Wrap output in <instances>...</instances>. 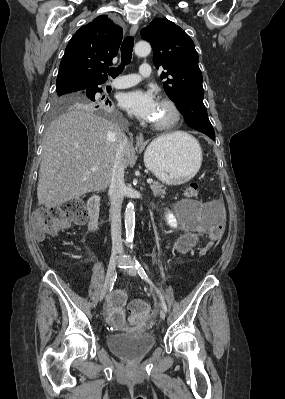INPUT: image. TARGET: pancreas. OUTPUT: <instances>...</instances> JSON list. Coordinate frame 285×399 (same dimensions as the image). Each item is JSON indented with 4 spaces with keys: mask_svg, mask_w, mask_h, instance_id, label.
Masks as SVG:
<instances>
[{
    "mask_svg": "<svg viewBox=\"0 0 285 399\" xmlns=\"http://www.w3.org/2000/svg\"><path fill=\"white\" fill-rule=\"evenodd\" d=\"M150 188L155 197L163 198L166 194L165 188H163V185L161 183L154 182L152 185H150Z\"/></svg>",
    "mask_w": 285,
    "mask_h": 399,
    "instance_id": "pancreas-1",
    "label": "pancreas"
}]
</instances>
